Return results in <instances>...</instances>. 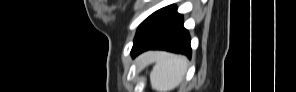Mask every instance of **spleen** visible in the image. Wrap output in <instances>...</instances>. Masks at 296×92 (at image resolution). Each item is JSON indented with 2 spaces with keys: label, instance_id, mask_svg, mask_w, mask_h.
<instances>
[{
  "label": "spleen",
  "instance_id": "spleen-1",
  "mask_svg": "<svg viewBox=\"0 0 296 92\" xmlns=\"http://www.w3.org/2000/svg\"><path fill=\"white\" fill-rule=\"evenodd\" d=\"M154 58L156 63L150 73L152 89L157 92H168L174 89L184 78L187 59L168 53H157Z\"/></svg>",
  "mask_w": 296,
  "mask_h": 92
}]
</instances>
